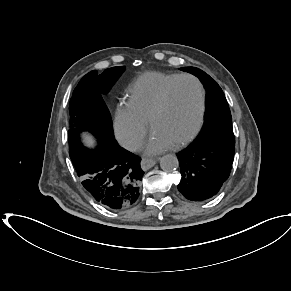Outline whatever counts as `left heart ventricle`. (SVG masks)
<instances>
[{"label": "left heart ventricle", "mask_w": 291, "mask_h": 291, "mask_svg": "<svg viewBox=\"0 0 291 291\" xmlns=\"http://www.w3.org/2000/svg\"><path fill=\"white\" fill-rule=\"evenodd\" d=\"M199 90L189 79L180 81L169 95L165 110L156 118L153 131L173 144L186 137L195 127L199 115Z\"/></svg>", "instance_id": "1"}]
</instances>
